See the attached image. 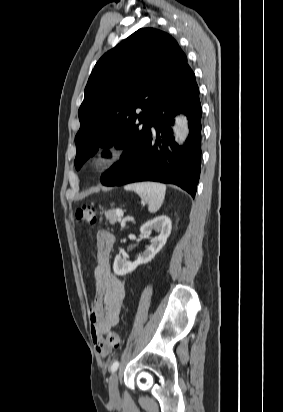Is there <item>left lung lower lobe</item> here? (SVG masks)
<instances>
[{"label": "left lung lower lobe", "instance_id": "obj_1", "mask_svg": "<svg viewBox=\"0 0 283 412\" xmlns=\"http://www.w3.org/2000/svg\"><path fill=\"white\" fill-rule=\"evenodd\" d=\"M179 112L188 116L191 130L182 147L175 143L170 128ZM201 114L199 89L191 71L159 107L149 128L130 136L121 160L111 166L101 182L105 186L138 181L171 183L194 197L200 176Z\"/></svg>", "mask_w": 283, "mask_h": 412}]
</instances>
